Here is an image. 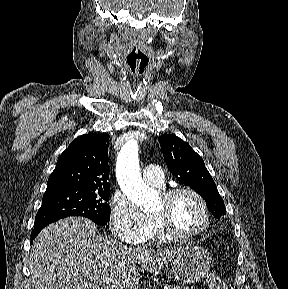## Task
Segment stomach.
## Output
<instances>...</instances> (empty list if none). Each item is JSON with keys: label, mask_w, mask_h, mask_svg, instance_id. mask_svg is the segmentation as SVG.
<instances>
[{"label": "stomach", "mask_w": 288, "mask_h": 289, "mask_svg": "<svg viewBox=\"0 0 288 289\" xmlns=\"http://www.w3.org/2000/svg\"><path fill=\"white\" fill-rule=\"evenodd\" d=\"M211 256L199 246L183 247L172 259L171 267L174 278L184 284L200 281L210 270Z\"/></svg>", "instance_id": "stomach-1"}]
</instances>
